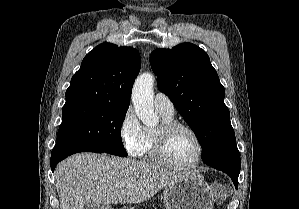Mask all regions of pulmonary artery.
<instances>
[{
    "instance_id": "e3ab8cb5",
    "label": "pulmonary artery",
    "mask_w": 299,
    "mask_h": 209,
    "mask_svg": "<svg viewBox=\"0 0 299 209\" xmlns=\"http://www.w3.org/2000/svg\"><path fill=\"white\" fill-rule=\"evenodd\" d=\"M155 109L162 115L171 117L174 115V105L164 93L158 92L154 97Z\"/></svg>"
}]
</instances>
